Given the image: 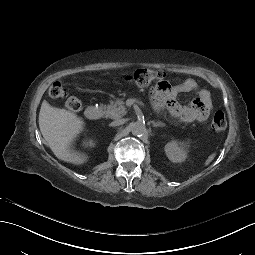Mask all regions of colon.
Masks as SVG:
<instances>
[{"label": "colon", "mask_w": 255, "mask_h": 255, "mask_svg": "<svg viewBox=\"0 0 255 255\" xmlns=\"http://www.w3.org/2000/svg\"><path fill=\"white\" fill-rule=\"evenodd\" d=\"M126 79L138 87H146L155 82L158 89H163L166 85V74L162 71H155L149 69H138L135 72L128 74ZM66 95L65 87L59 83H53L49 88V96L53 99L61 98ZM82 105L78 98L69 97L65 102V108L70 112L80 111ZM227 120L222 111H216L213 115L210 129L213 132H221L225 130Z\"/></svg>", "instance_id": "obj_1"}]
</instances>
